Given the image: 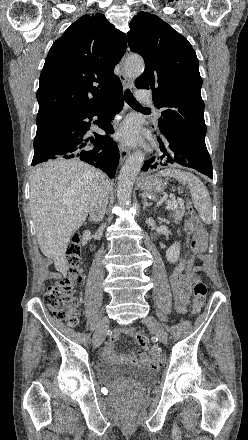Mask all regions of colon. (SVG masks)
I'll list each match as a JSON object with an SVG mask.
<instances>
[{
	"label": "colon",
	"instance_id": "obj_1",
	"mask_svg": "<svg viewBox=\"0 0 248 440\" xmlns=\"http://www.w3.org/2000/svg\"><path fill=\"white\" fill-rule=\"evenodd\" d=\"M189 220L195 228V234L191 241L190 258L188 270L193 285V299L191 310L198 314L205 302L207 287L203 279L195 272V257L205 248L206 232L204 225L200 221L192 203L188 202ZM79 237L74 236L66 252L67 270L64 277L52 283L44 296V301L51 313L64 319L70 326H76L79 318L76 312L77 299L74 296V287L81 280V257H80ZM136 343L142 348L149 346V340L146 335L137 333L135 335Z\"/></svg>",
	"mask_w": 248,
	"mask_h": 440
}]
</instances>
